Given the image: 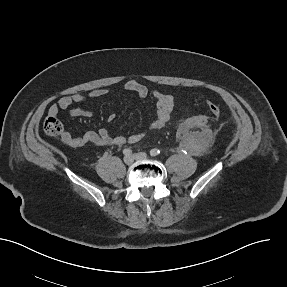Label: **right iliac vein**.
Segmentation results:
<instances>
[{
  "mask_svg": "<svg viewBox=\"0 0 287 287\" xmlns=\"http://www.w3.org/2000/svg\"><path fill=\"white\" fill-rule=\"evenodd\" d=\"M124 163L127 165H131L134 161V158L132 155H126L123 159Z\"/></svg>",
  "mask_w": 287,
  "mask_h": 287,
  "instance_id": "1",
  "label": "right iliac vein"
}]
</instances>
